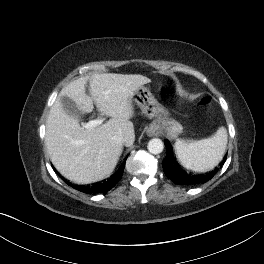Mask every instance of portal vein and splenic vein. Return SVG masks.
I'll return each mask as SVG.
<instances>
[{
	"mask_svg": "<svg viewBox=\"0 0 264 264\" xmlns=\"http://www.w3.org/2000/svg\"><path fill=\"white\" fill-rule=\"evenodd\" d=\"M104 119L103 118H98V119H95V120H91L87 123L84 124V128L85 129H91V128H94L96 126H99L103 123Z\"/></svg>",
	"mask_w": 264,
	"mask_h": 264,
	"instance_id": "portal-vein-and-splenic-vein-1",
	"label": "portal vein and splenic vein"
}]
</instances>
